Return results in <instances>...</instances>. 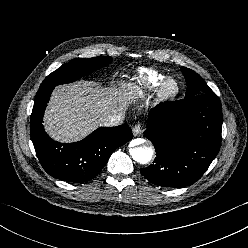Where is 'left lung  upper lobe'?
Listing matches in <instances>:
<instances>
[{"label":"left lung upper lobe","mask_w":248,"mask_h":248,"mask_svg":"<svg viewBox=\"0 0 248 248\" xmlns=\"http://www.w3.org/2000/svg\"><path fill=\"white\" fill-rule=\"evenodd\" d=\"M181 71L186 78L187 85L189 86L185 98L194 97L203 93H213L203 79L193 70L181 67Z\"/></svg>","instance_id":"5c2ea615"}]
</instances>
